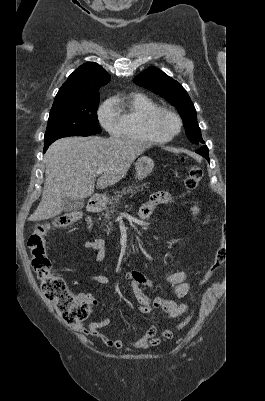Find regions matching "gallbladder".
Listing matches in <instances>:
<instances>
[{
  "label": "gallbladder",
  "instance_id": "1",
  "mask_svg": "<svg viewBox=\"0 0 265 401\" xmlns=\"http://www.w3.org/2000/svg\"><path fill=\"white\" fill-rule=\"evenodd\" d=\"M84 205V198H75V196H65L62 201V209L67 213H75V211L83 209Z\"/></svg>",
  "mask_w": 265,
  "mask_h": 401
}]
</instances>
